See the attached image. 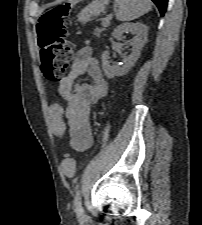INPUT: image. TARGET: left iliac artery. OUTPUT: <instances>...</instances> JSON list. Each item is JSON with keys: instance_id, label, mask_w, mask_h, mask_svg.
Wrapping results in <instances>:
<instances>
[{"instance_id": "left-iliac-artery-1", "label": "left iliac artery", "mask_w": 202, "mask_h": 225, "mask_svg": "<svg viewBox=\"0 0 202 225\" xmlns=\"http://www.w3.org/2000/svg\"><path fill=\"white\" fill-rule=\"evenodd\" d=\"M74 205H75L76 213L78 215H82L83 214V207H82L81 194H80L79 189L76 191V194H75Z\"/></svg>"}]
</instances>
